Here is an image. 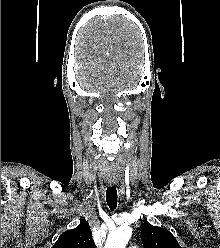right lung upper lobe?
I'll use <instances>...</instances> for the list:
<instances>
[{
    "label": "right lung upper lobe",
    "instance_id": "right-lung-upper-lobe-1",
    "mask_svg": "<svg viewBox=\"0 0 220 248\" xmlns=\"http://www.w3.org/2000/svg\"><path fill=\"white\" fill-rule=\"evenodd\" d=\"M52 248H95L89 223L83 220L78 227L62 233Z\"/></svg>",
    "mask_w": 220,
    "mask_h": 248
}]
</instances>
